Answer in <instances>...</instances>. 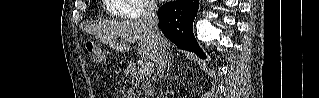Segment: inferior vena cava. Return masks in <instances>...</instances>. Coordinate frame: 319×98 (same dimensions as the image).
I'll return each instance as SVG.
<instances>
[{
  "mask_svg": "<svg viewBox=\"0 0 319 98\" xmlns=\"http://www.w3.org/2000/svg\"><path fill=\"white\" fill-rule=\"evenodd\" d=\"M157 7L153 0H146L142 12V22L145 24L149 33L152 34L157 41L156 54V74L155 77L159 80L164 76V72L168 62V52L164 42V36L158 27Z\"/></svg>",
  "mask_w": 319,
  "mask_h": 98,
  "instance_id": "602c4592",
  "label": "inferior vena cava"
}]
</instances>
